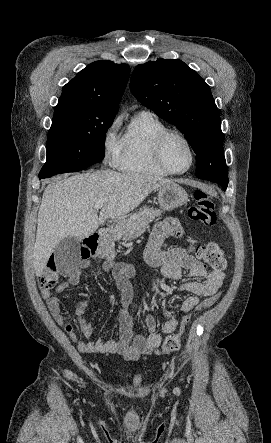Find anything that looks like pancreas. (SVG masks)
<instances>
[{
	"label": "pancreas",
	"mask_w": 271,
	"mask_h": 443,
	"mask_svg": "<svg viewBox=\"0 0 271 443\" xmlns=\"http://www.w3.org/2000/svg\"><path fill=\"white\" fill-rule=\"evenodd\" d=\"M161 210H154V208H140L139 212L136 214H131L128 220H123L120 223L123 231V239H134L141 235L145 231V227H148V223L155 218L161 216Z\"/></svg>",
	"instance_id": "1"
}]
</instances>
